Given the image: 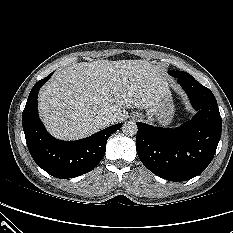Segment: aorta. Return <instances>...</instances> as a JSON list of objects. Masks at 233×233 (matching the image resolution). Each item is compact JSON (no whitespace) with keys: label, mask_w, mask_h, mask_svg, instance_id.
<instances>
[{"label":"aorta","mask_w":233,"mask_h":233,"mask_svg":"<svg viewBox=\"0 0 233 233\" xmlns=\"http://www.w3.org/2000/svg\"><path fill=\"white\" fill-rule=\"evenodd\" d=\"M137 125L133 121L125 122L122 125V131L127 136H134L137 133Z\"/></svg>","instance_id":"762f6f07"}]
</instances>
